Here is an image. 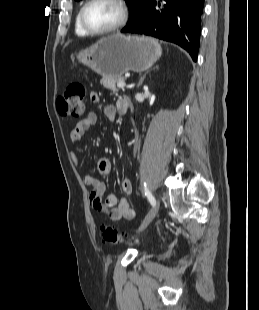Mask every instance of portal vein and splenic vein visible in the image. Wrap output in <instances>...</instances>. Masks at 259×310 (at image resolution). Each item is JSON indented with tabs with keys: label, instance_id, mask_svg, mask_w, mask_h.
Instances as JSON below:
<instances>
[{
	"label": "portal vein and splenic vein",
	"instance_id": "1",
	"mask_svg": "<svg viewBox=\"0 0 259 310\" xmlns=\"http://www.w3.org/2000/svg\"><path fill=\"white\" fill-rule=\"evenodd\" d=\"M125 86H126V83H125V82H118V83H117V87H118L119 89H123Z\"/></svg>",
	"mask_w": 259,
	"mask_h": 310
}]
</instances>
